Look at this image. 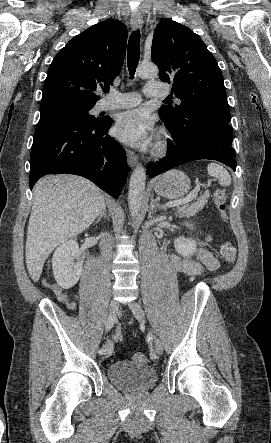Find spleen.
<instances>
[{"instance_id":"1","label":"spleen","mask_w":271,"mask_h":443,"mask_svg":"<svg viewBox=\"0 0 271 443\" xmlns=\"http://www.w3.org/2000/svg\"><path fill=\"white\" fill-rule=\"evenodd\" d=\"M207 172L212 178H218L221 186H231V176L223 166H220V164H214V162H211L207 168Z\"/></svg>"}]
</instances>
